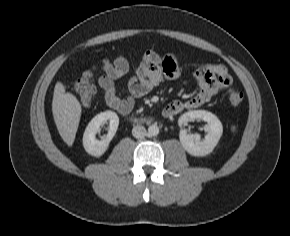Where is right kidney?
I'll use <instances>...</instances> for the list:
<instances>
[{
  "label": "right kidney",
  "mask_w": 290,
  "mask_h": 236,
  "mask_svg": "<svg viewBox=\"0 0 290 236\" xmlns=\"http://www.w3.org/2000/svg\"><path fill=\"white\" fill-rule=\"evenodd\" d=\"M107 122H109L108 134L103 136L101 140H97L95 136L100 131V126ZM118 125L119 117L115 112L108 110L97 114L84 131L83 146L86 152L95 157L103 155L108 149Z\"/></svg>",
  "instance_id": "right-kidney-1"
}]
</instances>
